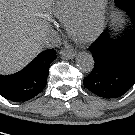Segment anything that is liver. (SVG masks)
Returning a JSON list of instances; mask_svg holds the SVG:
<instances>
[{"instance_id":"1","label":"liver","mask_w":135,"mask_h":135,"mask_svg":"<svg viewBox=\"0 0 135 135\" xmlns=\"http://www.w3.org/2000/svg\"><path fill=\"white\" fill-rule=\"evenodd\" d=\"M52 0H0V74L26 66L42 51Z\"/></svg>"}]
</instances>
